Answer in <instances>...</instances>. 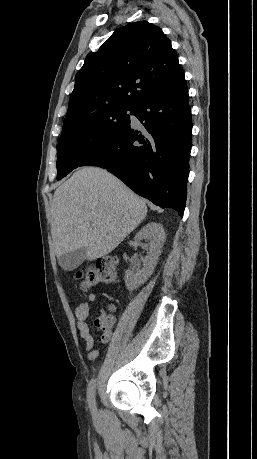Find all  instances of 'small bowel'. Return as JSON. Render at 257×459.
Returning a JSON list of instances; mask_svg holds the SVG:
<instances>
[{
  "label": "small bowel",
  "instance_id": "1",
  "mask_svg": "<svg viewBox=\"0 0 257 459\" xmlns=\"http://www.w3.org/2000/svg\"><path fill=\"white\" fill-rule=\"evenodd\" d=\"M97 300L95 293H89L87 300L77 305L74 311V317L76 320V328L80 334V337L84 340V349L87 352V358L89 361H94L98 358L100 350L95 348V341L90 332V328L86 323V320L91 315V305ZM116 307L111 304L107 307L100 309V314L95 318L94 324L98 330L101 331V341L106 344L112 337V329L116 322L115 317Z\"/></svg>",
  "mask_w": 257,
  "mask_h": 459
}]
</instances>
